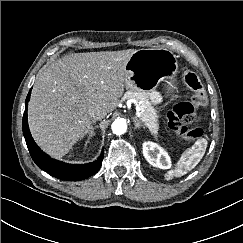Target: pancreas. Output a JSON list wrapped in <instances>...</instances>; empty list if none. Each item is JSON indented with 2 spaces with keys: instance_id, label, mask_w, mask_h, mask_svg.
<instances>
[{
  "instance_id": "pancreas-1",
  "label": "pancreas",
  "mask_w": 243,
  "mask_h": 243,
  "mask_svg": "<svg viewBox=\"0 0 243 243\" xmlns=\"http://www.w3.org/2000/svg\"><path fill=\"white\" fill-rule=\"evenodd\" d=\"M124 100L135 99L140 101V119L144 125L149 129L150 133L154 135L155 138L158 137L159 123L157 110L154 108L152 103L149 101L148 93L144 90H128L123 97Z\"/></svg>"
}]
</instances>
